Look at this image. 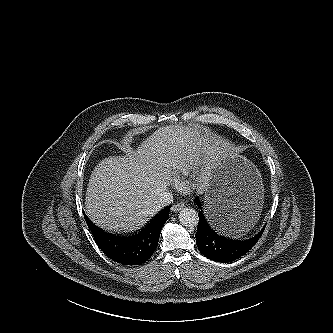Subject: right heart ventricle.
Returning <instances> with one entry per match:
<instances>
[{
    "label": "right heart ventricle",
    "mask_w": 333,
    "mask_h": 333,
    "mask_svg": "<svg viewBox=\"0 0 333 333\" xmlns=\"http://www.w3.org/2000/svg\"><path fill=\"white\" fill-rule=\"evenodd\" d=\"M194 166L193 159L187 157L179 161L175 166V171L178 175H188Z\"/></svg>",
    "instance_id": "1"
}]
</instances>
